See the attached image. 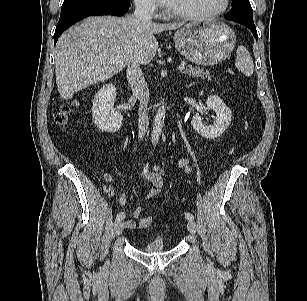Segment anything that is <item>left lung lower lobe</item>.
<instances>
[{
    "mask_svg": "<svg viewBox=\"0 0 307 301\" xmlns=\"http://www.w3.org/2000/svg\"><path fill=\"white\" fill-rule=\"evenodd\" d=\"M232 21L238 22V23L243 24L246 27H248L252 31V33H253L254 37L256 38V40L258 39V35H257V31H256V26H255L254 22L253 23H249V22L237 21V20H232Z\"/></svg>",
    "mask_w": 307,
    "mask_h": 301,
    "instance_id": "obj_1",
    "label": "left lung lower lobe"
}]
</instances>
